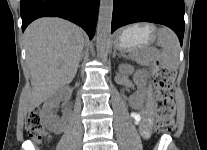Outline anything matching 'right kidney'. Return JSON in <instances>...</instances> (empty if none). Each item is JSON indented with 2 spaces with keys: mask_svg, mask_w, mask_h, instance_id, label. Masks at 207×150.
Returning a JSON list of instances; mask_svg holds the SVG:
<instances>
[{
  "mask_svg": "<svg viewBox=\"0 0 207 150\" xmlns=\"http://www.w3.org/2000/svg\"><path fill=\"white\" fill-rule=\"evenodd\" d=\"M69 89L64 87L55 92L43 105V119L46 127L55 134L63 131V121L56 118L55 109L68 95Z\"/></svg>",
  "mask_w": 207,
  "mask_h": 150,
  "instance_id": "ca27d5eb",
  "label": "right kidney"
}]
</instances>
